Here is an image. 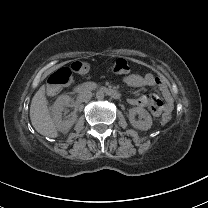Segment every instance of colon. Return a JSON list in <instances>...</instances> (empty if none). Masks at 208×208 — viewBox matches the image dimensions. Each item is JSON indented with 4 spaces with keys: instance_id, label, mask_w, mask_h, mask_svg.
<instances>
[{
    "instance_id": "obj_1",
    "label": "colon",
    "mask_w": 208,
    "mask_h": 208,
    "mask_svg": "<svg viewBox=\"0 0 208 208\" xmlns=\"http://www.w3.org/2000/svg\"><path fill=\"white\" fill-rule=\"evenodd\" d=\"M129 70L130 67L128 61L123 57L117 58L111 66V71L117 75L126 74L127 72H129ZM170 119L171 118L169 114L163 113L158 117L157 123L160 126H165L170 122Z\"/></svg>"
}]
</instances>
